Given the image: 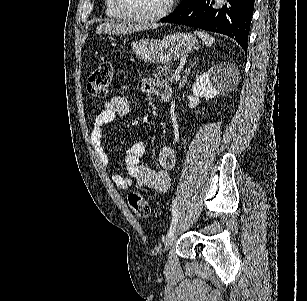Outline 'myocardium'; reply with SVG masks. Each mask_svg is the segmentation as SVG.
Returning a JSON list of instances; mask_svg holds the SVG:
<instances>
[{
	"label": "myocardium",
	"mask_w": 307,
	"mask_h": 301,
	"mask_svg": "<svg viewBox=\"0 0 307 301\" xmlns=\"http://www.w3.org/2000/svg\"><path fill=\"white\" fill-rule=\"evenodd\" d=\"M128 0H113L114 14L121 17L122 22H159L160 17H166L172 6V0H167L161 11H135L123 10L124 4Z\"/></svg>",
	"instance_id": "1"
}]
</instances>
